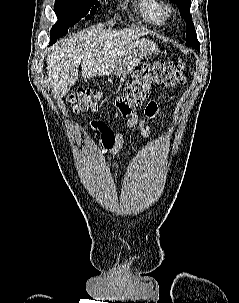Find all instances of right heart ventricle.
Here are the masks:
<instances>
[{"label": "right heart ventricle", "instance_id": "1", "mask_svg": "<svg viewBox=\"0 0 239 303\" xmlns=\"http://www.w3.org/2000/svg\"><path fill=\"white\" fill-rule=\"evenodd\" d=\"M141 16L150 24L162 25L169 14V6L163 0H134Z\"/></svg>", "mask_w": 239, "mask_h": 303}]
</instances>
